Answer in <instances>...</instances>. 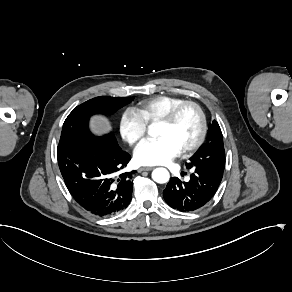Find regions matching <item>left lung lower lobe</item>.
<instances>
[{
	"mask_svg": "<svg viewBox=\"0 0 292 292\" xmlns=\"http://www.w3.org/2000/svg\"><path fill=\"white\" fill-rule=\"evenodd\" d=\"M222 177L220 174H206L192 169L190 180L187 182L177 177L170 179L163 191L164 200L180 212L195 211L212 199Z\"/></svg>",
	"mask_w": 292,
	"mask_h": 292,
	"instance_id": "left-lung-lower-lobe-1",
	"label": "left lung lower lobe"
}]
</instances>
